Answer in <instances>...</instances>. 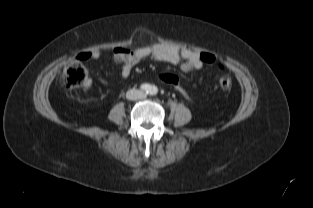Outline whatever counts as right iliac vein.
Returning <instances> with one entry per match:
<instances>
[{
    "label": "right iliac vein",
    "instance_id": "right-iliac-vein-1",
    "mask_svg": "<svg viewBox=\"0 0 313 208\" xmlns=\"http://www.w3.org/2000/svg\"><path fill=\"white\" fill-rule=\"evenodd\" d=\"M129 96H137V92H136V91H131V92L129 93Z\"/></svg>",
    "mask_w": 313,
    "mask_h": 208
}]
</instances>
